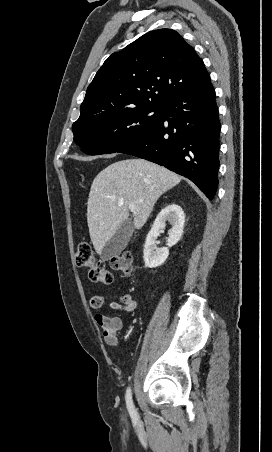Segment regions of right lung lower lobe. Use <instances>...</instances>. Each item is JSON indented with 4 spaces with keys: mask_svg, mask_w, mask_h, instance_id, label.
Returning <instances> with one entry per match:
<instances>
[{
    "mask_svg": "<svg viewBox=\"0 0 272 452\" xmlns=\"http://www.w3.org/2000/svg\"><path fill=\"white\" fill-rule=\"evenodd\" d=\"M220 121L210 79L162 106L158 121L119 153L144 158L194 182L213 199L218 186Z\"/></svg>",
    "mask_w": 272,
    "mask_h": 452,
    "instance_id": "1",
    "label": "right lung lower lobe"
}]
</instances>
